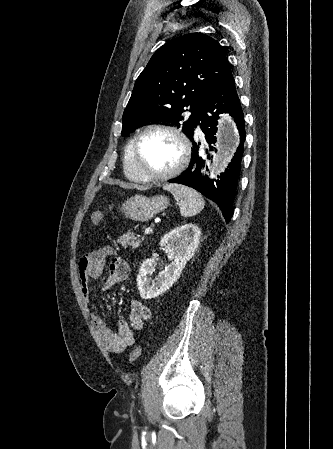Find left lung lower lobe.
<instances>
[{"label":"left lung lower lobe","mask_w":333,"mask_h":449,"mask_svg":"<svg viewBox=\"0 0 333 449\" xmlns=\"http://www.w3.org/2000/svg\"><path fill=\"white\" fill-rule=\"evenodd\" d=\"M226 112L234 118L240 135V144L237 151L228 165V169L217 180H210L208 176H202L201 168L205 162L199 152L201 143L197 141L196 134L193 139V155L188 169L180 176L169 180L171 183H179L196 189L204 196L214 201L222 211V214L229 222L233 214V202L237 188V181L240 173L241 160L243 156V144L246 137L244 127V115L238 98L233 75L214 93L202 111L198 123L205 134V139L209 144L216 142L214 136L217 131V119L219 114ZM213 150L212 146H209ZM207 152V151H206ZM206 158L210 159L207 153Z\"/></svg>","instance_id":"1"}]
</instances>
